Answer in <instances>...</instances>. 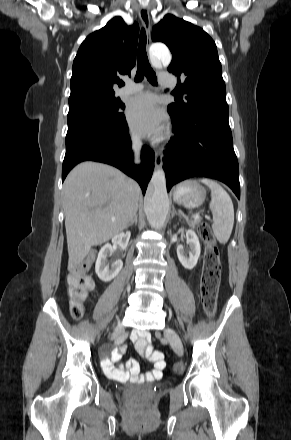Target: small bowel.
I'll use <instances>...</instances> for the list:
<instances>
[{
	"mask_svg": "<svg viewBox=\"0 0 291 440\" xmlns=\"http://www.w3.org/2000/svg\"><path fill=\"white\" fill-rule=\"evenodd\" d=\"M132 338L135 340L138 339L136 342V350L140 353H143L147 359L153 363L154 369L146 373H141L139 363L135 360L127 362L124 368H116L114 364H116L119 360L120 352H124L126 350L125 346H121L119 350L113 351L110 357L104 359L103 369L106 374L110 377L118 379L130 378L131 381L138 383L150 382L154 379L160 378L163 370L166 367V364L162 355L158 358H154V354H152L149 345L147 333L144 331H138L133 334ZM177 369L182 371L183 367L177 366Z\"/></svg>",
	"mask_w": 291,
	"mask_h": 440,
	"instance_id": "obj_1",
	"label": "small bowel"
}]
</instances>
